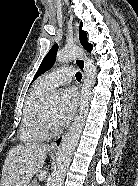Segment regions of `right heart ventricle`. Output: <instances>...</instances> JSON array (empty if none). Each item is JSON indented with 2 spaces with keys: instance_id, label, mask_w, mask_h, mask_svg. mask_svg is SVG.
I'll return each mask as SVG.
<instances>
[{
  "instance_id": "obj_1",
  "label": "right heart ventricle",
  "mask_w": 138,
  "mask_h": 186,
  "mask_svg": "<svg viewBox=\"0 0 138 186\" xmlns=\"http://www.w3.org/2000/svg\"><path fill=\"white\" fill-rule=\"evenodd\" d=\"M48 90L49 88L45 87L39 80L27 98L19 128V139L25 144L36 143L47 137L39 127L38 118L44 104V95Z\"/></svg>"
}]
</instances>
